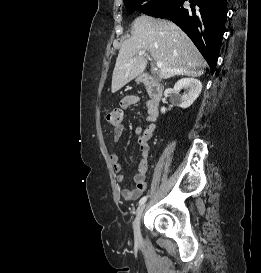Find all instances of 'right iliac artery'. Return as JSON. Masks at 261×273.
Returning <instances> with one entry per match:
<instances>
[{
    "label": "right iliac artery",
    "mask_w": 261,
    "mask_h": 273,
    "mask_svg": "<svg viewBox=\"0 0 261 273\" xmlns=\"http://www.w3.org/2000/svg\"><path fill=\"white\" fill-rule=\"evenodd\" d=\"M146 200H147V196L142 197V198L140 199V201H139V205H140V206L143 205V204L146 202Z\"/></svg>",
    "instance_id": "82829eb1"
}]
</instances>
